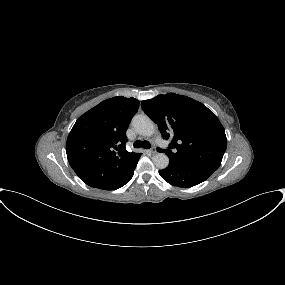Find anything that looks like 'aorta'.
Listing matches in <instances>:
<instances>
[{
	"instance_id": "aorta-1",
	"label": "aorta",
	"mask_w": 285,
	"mask_h": 285,
	"mask_svg": "<svg viewBox=\"0 0 285 285\" xmlns=\"http://www.w3.org/2000/svg\"><path fill=\"white\" fill-rule=\"evenodd\" d=\"M132 126L135 131L142 136L149 137L155 133L153 121L144 114L134 116L132 119ZM152 160L158 169H165L169 165V158L165 153L155 154Z\"/></svg>"
}]
</instances>
